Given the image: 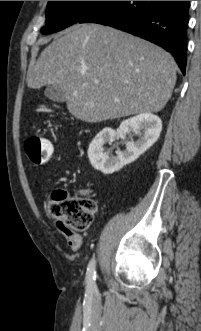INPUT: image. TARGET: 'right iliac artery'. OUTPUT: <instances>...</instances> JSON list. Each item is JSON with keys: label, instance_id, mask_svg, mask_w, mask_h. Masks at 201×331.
Wrapping results in <instances>:
<instances>
[{"label": "right iliac artery", "instance_id": "obj_1", "mask_svg": "<svg viewBox=\"0 0 201 331\" xmlns=\"http://www.w3.org/2000/svg\"><path fill=\"white\" fill-rule=\"evenodd\" d=\"M95 265H96V261H95L94 258H92L91 261L88 264L87 276H86L87 286H88V288L91 291H95L96 290V284H95V279H96Z\"/></svg>", "mask_w": 201, "mask_h": 331}]
</instances>
